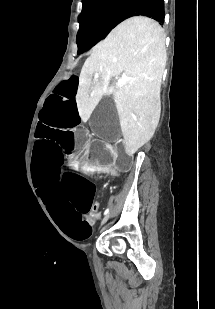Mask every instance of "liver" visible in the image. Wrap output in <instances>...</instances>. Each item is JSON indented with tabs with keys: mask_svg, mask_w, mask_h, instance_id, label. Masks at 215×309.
Here are the masks:
<instances>
[{
	"mask_svg": "<svg viewBox=\"0 0 215 309\" xmlns=\"http://www.w3.org/2000/svg\"><path fill=\"white\" fill-rule=\"evenodd\" d=\"M166 64L164 28L148 16H131L93 46L79 76L76 102L83 122L103 94H114L125 150L129 157L150 140L160 118V96ZM99 72L102 82H92ZM126 76L123 86H110Z\"/></svg>",
	"mask_w": 215,
	"mask_h": 309,
	"instance_id": "1",
	"label": "liver"
}]
</instances>
